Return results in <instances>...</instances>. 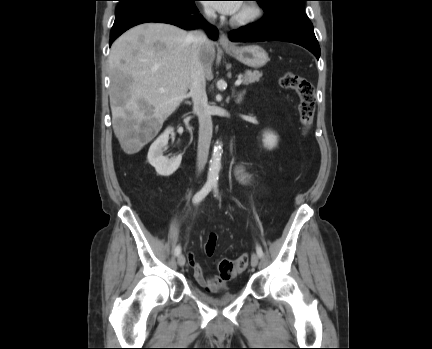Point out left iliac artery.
<instances>
[{"instance_id": "1", "label": "left iliac artery", "mask_w": 432, "mask_h": 349, "mask_svg": "<svg viewBox=\"0 0 432 349\" xmlns=\"http://www.w3.org/2000/svg\"><path fill=\"white\" fill-rule=\"evenodd\" d=\"M213 188H214L215 196L218 197V188H217V183H214V184H213ZM256 252H257V254H258V256H259L260 258L263 257L264 253H263L262 248H261L259 245H257V247H256Z\"/></svg>"}]
</instances>
